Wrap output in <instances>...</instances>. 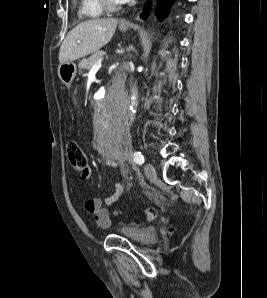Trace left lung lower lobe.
I'll return each instance as SVG.
<instances>
[{"label":"left lung lower lobe","instance_id":"obj_1","mask_svg":"<svg viewBox=\"0 0 267 298\" xmlns=\"http://www.w3.org/2000/svg\"><path fill=\"white\" fill-rule=\"evenodd\" d=\"M159 10H158V17L161 19L164 14L168 11L169 6L173 2V0H159ZM147 9L144 13V17L146 16Z\"/></svg>","mask_w":267,"mask_h":298}]
</instances>
